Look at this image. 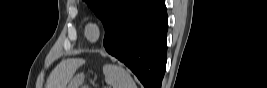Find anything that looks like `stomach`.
Here are the masks:
<instances>
[{"mask_svg":"<svg viewBox=\"0 0 267 88\" xmlns=\"http://www.w3.org/2000/svg\"><path fill=\"white\" fill-rule=\"evenodd\" d=\"M83 81V75H77L73 81L71 82V84L69 85V88H78V86L82 83Z\"/></svg>","mask_w":267,"mask_h":88,"instance_id":"1","label":"stomach"}]
</instances>
